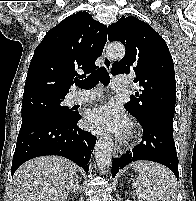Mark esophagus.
I'll use <instances>...</instances> for the list:
<instances>
[{
    "instance_id": "1",
    "label": "esophagus",
    "mask_w": 196,
    "mask_h": 201,
    "mask_svg": "<svg viewBox=\"0 0 196 201\" xmlns=\"http://www.w3.org/2000/svg\"><path fill=\"white\" fill-rule=\"evenodd\" d=\"M103 57H104V66L108 71H110L112 67V60L107 56L106 49H104L103 51ZM113 154L115 157H120L124 154V149L116 146L114 148Z\"/></svg>"
}]
</instances>
